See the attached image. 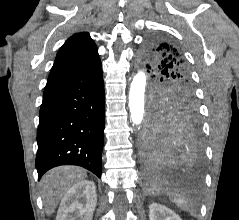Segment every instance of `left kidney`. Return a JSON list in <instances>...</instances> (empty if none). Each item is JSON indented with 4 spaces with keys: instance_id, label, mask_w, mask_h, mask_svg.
Returning <instances> with one entry per match:
<instances>
[{
    "instance_id": "left-kidney-1",
    "label": "left kidney",
    "mask_w": 239,
    "mask_h": 220,
    "mask_svg": "<svg viewBox=\"0 0 239 220\" xmlns=\"http://www.w3.org/2000/svg\"><path fill=\"white\" fill-rule=\"evenodd\" d=\"M149 220H182L176 213L169 208L158 203L149 206Z\"/></svg>"
}]
</instances>
